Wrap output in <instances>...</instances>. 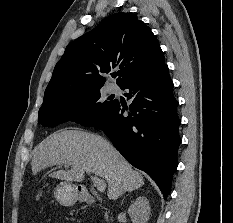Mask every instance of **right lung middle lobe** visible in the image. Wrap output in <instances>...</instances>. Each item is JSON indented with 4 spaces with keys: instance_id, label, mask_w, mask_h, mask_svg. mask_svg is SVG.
Segmentation results:
<instances>
[{
    "instance_id": "1",
    "label": "right lung middle lobe",
    "mask_w": 233,
    "mask_h": 223,
    "mask_svg": "<svg viewBox=\"0 0 233 223\" xmlns=\"http://www.w3.org/2000/svg\"><path fill=\"white\" fill-rule=\"evenodd\" d=\"M100 98V88H95L42 105L39 109V122L44 127H54L70 120L86 126L102 110L113 106L116 102L102 101Z\"/></svg>"
}]
</instances>
